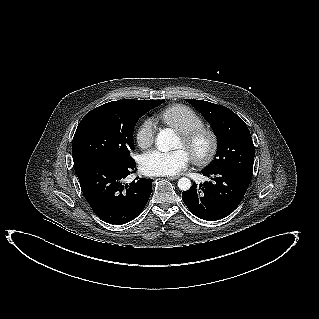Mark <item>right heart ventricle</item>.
Listing matches in <instances>:
<instances>
[{
	"mask_svg": "<svg viewBox=\"0 0 319 319\" xmlns=\"http://www.w3.org/2000/svg\"><path fill=\"white\" fill-rule=\"evenodd\" d=\"M158 118L178 133L203 125L202 117L186 105L174 104L163 109Z\"/></svg>",
	"mask_w": 319,
	"mask_h": 319,
	"instance_id": "obj_1",
	"label": "right heart ventricle"
}]
</instances>
